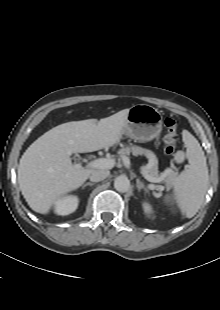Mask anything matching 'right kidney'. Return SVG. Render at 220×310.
<instances>
[{
    "label": "right kidney",
    "instance_id": "1",
    "mask_svg": "<svg viewBox=\"0 0 220 310\" xmlns=\"http://www.w3.org/2000/svg\"><path fill=\"white\" fill-rule=\"evenodd\" d=\"M79 199L75 195H67L60 198L54 206V212L57 215H69L78 207Z\"/></svg>",
    "mask_w": 220,
    "mask_h": 310
}]
</instances>
